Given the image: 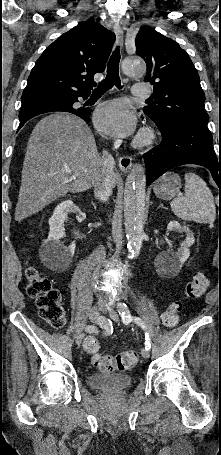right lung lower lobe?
<instances>
[{
    "label": "right lung lower lobe",
    "mask_w": 221,
    "mask_h": 455,
    "mask_svg": "<svg viewBox=\"0 0 221 455\" xmlns=\"http://www.w3.org/2000/svg\"><path fill=\"white\" fill-rule=\"evenodd\" d=\"M89 95H90V92L81 94L79 96H82L84 98V97H88ZM79 96L75 97L73 99V101L68 103V104H65V103H62V104H47V105H40V106L31 107V108H28V109H25V110H21L20 114H19V120H20L19 129L29 119H31V118H33V117H35L37 115L43 114V113L54 112V111H62V112L73 113V114L81 117L87 123H89V121H90V118H89L90 110L89 109H82V108L81 109H75V108L72 107L73 103L78 101L77 98Z\"/></svg>",
    "instance_id": "right-lung-lower-lobe-1"
}]
</instances>
